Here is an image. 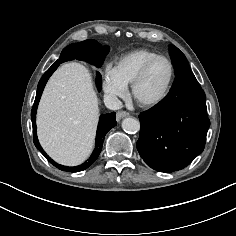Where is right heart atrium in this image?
Segmentation results:
<instances>
[{"label":"right heart atrium","instance_id":"obj_1","mask_svg":"<svg viewBox=\"0 0 236 236\" xmlns=\"http://www.w3.org/2000/svg\"><path fill=\"white\" fill-rule=\"evenodd\" d=\"M102 88L110 99L122 97L127 91V87L116 77L112 67H106L103 71Z\"/></svg>","mask_w":236,"mask_h":236}]
</instances>
